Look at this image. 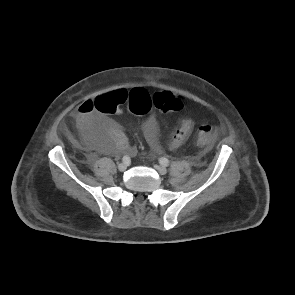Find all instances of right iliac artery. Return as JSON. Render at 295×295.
<instances>
[{
    "mask_svg": "<svg viewBox=\"0 0 295 295\" xmlns=\"http://www.w3.org/2000/svg\"><path fill=\"white\" fill-rule=\"evenodd\" d=\"M122 161L127 164L130 162V157L126 155L122 158Z\"/></svg>",
    "mask_w": 295,
    "mask_h": 295,
    "instance_id": "82829eb1",
    "label": "right iliac artery"
}]
</instances>
